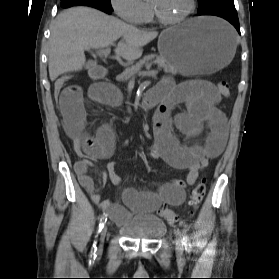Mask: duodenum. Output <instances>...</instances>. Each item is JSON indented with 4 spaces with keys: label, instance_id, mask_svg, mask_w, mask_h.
I'll list each match as a JSON object with an SVG mask.
<instances>
[{
    "label": "duodenum",
    "instance_id": "duodenum-1",
    "mask_svg": "<svg viewBox=\"0 0 279 279\" xmlns=\"http://www.w3.org/2000/svg\"><path fill=\"white\" fill-rule=\"evenodd\" d=\"M107 75H108V71L103 66H96L90 70V77L96 80H101ZM157 103L158 101L152 97H149L148 94L143 98L141 102L144 108L154 107Z\"/></svg>",
    "mask_w": 279,
    "mask_h": 279
}]
</instances>
